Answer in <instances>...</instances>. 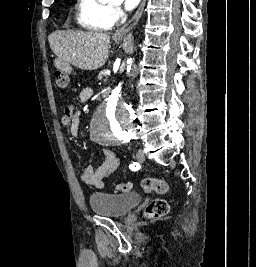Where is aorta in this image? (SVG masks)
<instances>
[{
  "mask_svg": "<svg viewBox=\"0 0 256 267\" xmlns=\"http://www.w3.org/2000/svg\"><path fill=\"white\" fill-rule=\"evenodd\" d=\"M132 62L130 58V66ZM130 66L128 70H131ZM133 120L132 108H127L119 95H111L108 101H100V108H95L92 127H133ZM121 133H128V128H89V138H93V143H116Z\"/></svg>",
  "mask_w": 256,
  "mask_h": 267,
  "instance_id": "762f6f07",
  "label": "aorta"
}]
</instances>
